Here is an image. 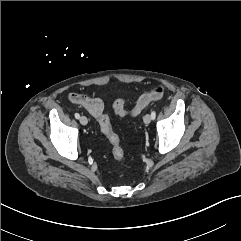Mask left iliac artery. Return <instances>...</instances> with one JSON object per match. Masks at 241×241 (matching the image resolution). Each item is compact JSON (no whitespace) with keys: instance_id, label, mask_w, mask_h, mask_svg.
Here are the masks:
<instances>
[{"instance_id":"obj_1","label":"left iliac artery","mask_w":241,"mask_h":241,"mask_svg":"<svg viewBox=\"0 0 241 241\" xmlns=\"http://www.w3.org/2000/svg\"><path fill=\"white\" fill-rule=\"evenodd\" d=\"M155 117H156V112H155V111H153V112L151 113V118L154 120V119H155Z\"/></svg>"}]
</instances>
